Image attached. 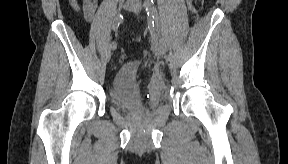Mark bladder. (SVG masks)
<instances>
[{
	"mask_svg": "<svg viewBox=\"0 0 288 164\" xmlns=\"http://www.w3.org/2000/svg\"><path fill=\"white\" fill-rule=\"evenodd\" d=\"M137 64L127 63L119 67L113 75L109 89L110 102L119 109L133 110L144 106H153L155 96L142 93L136 80Z\"/></svg>",
	"mask_w": 288,
	"mask_h": 164,
	"instance_id": "bladder-1",
	"label": "bladder"
}]
</instances>
